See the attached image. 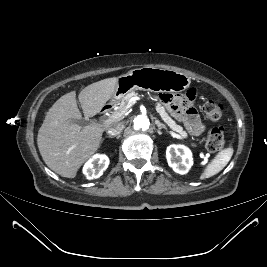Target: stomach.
I'll use <instances>...</instances> for the list:
<instances>
[{
    "instance_id": "stomach-1",
    "label": "stomach",
    "mask_w": 267,
    "mask_h": 267,
    "mask_svg": "<svg viewBox=\"0 0 267 267\" xmlns=\"http://www.w3.org/2000/svg\"><path fill=\"white\" fill-rule=\"evenodd\" d=\"M190 83L189 76L174 70L155 67L136 68L118 77L112 98L121 100L134 90L181 92L186 90Z\"/></svg>"
}]
</instances>
